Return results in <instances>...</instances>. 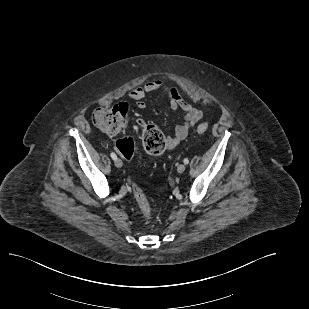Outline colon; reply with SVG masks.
Instances as JSON below:
<instances>
[{
    "mask_svg": "<svg viewBox=\"0 0 309 309\" xmlns=\"http://www.w3.org/2000/svg\"><path fill=\"white\" fill-rule=\"evenodd\" d=\"M127 108L124 105L114 107H101L94 111L93 122L105 134L118 136L116 150L126 160H131L135 144L133 138L126 134ZM208 130V125L203 123L197 127L198 133ZM142 146L151 155H159L166 149V138L161 129L153 124L142 127ZM133 194L140 213L145 219L151 217V207L142 188L133 184Z\"/></svg>",
    "mask_w": 309,
    "mask_h": 309,
    "instance_id": "obj_1",
    "label": "colon"
}]
</instances>
